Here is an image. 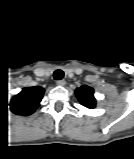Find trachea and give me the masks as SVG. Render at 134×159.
<instances>
[{
  "label": "trachea",
  "instance_id": "trachea-1",
  "mask_svg": "<svg viewBox=\"0 0 134 159\" xmlns=\"http://www.w3.org/2000/svg\"><path fill=\"white\" fill-rule=\"evenodd\" d=\"M63 77H64V72L62 70L58 69L54 72V78L56 80H61Z\"/></svg>",
  "mask_w": 134,
  "mask_h": 159
}]
</instances>
